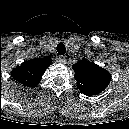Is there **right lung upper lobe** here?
<instances>
[{"label": "right lung upper lobe", "instance_id": "right-lung-upper-lobe-1", "mask_svg": "<svg viewBox=\"0 0 129 129\" xmlns=\"http://www.w3.org/2000/svg\"><path fill=\"white\" fill-rule=\"evenodd\" d=\"M43 59H31L29 61H26L22 63V65L18 68L25 73L26 79L20 81H34L35 79H38L41 77L43 72L45 71L46 65L48 64L47 61H42ZM30 72V75L29 73Z\"/></svg>", "mask_w": 129, "mask_h": 129}]
</instances>
